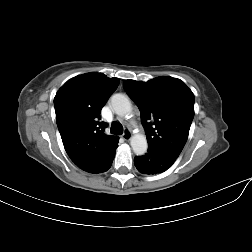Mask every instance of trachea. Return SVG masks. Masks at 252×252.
Instances as JSON below:
<instances>
[{"mask_svg": "<svg viewBox=\"0 0 252 252\" xmlns=\"http://www.w3.org/2000/svg\"><path fill=\"white\" fill-rule=\"evenodd\" d=\"M111 133L121 135L123 133L122 125L119 122H113L111 125Z\"/></svg>", "mask_w": 252, "mask_h": 252, "instance_id": "obj_1", "label": "trachea"}]
</instances>
